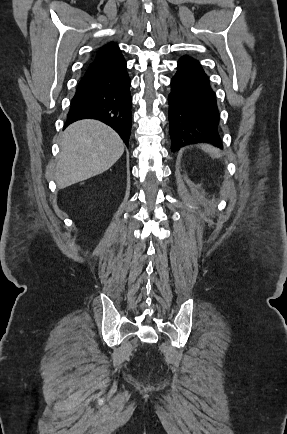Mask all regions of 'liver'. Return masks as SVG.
I'll return each instance as SVG.
<instances>
[{
  "mask_svg": "<svg viewBox=\"0 0 287 434\" xmlns=\"http://www.w3.org/2000/svg\"><path fill=\"white\" fill-rule=\"evenodd\" d=\"M55 180L59 189L99 175L122 156L124 143L110 127L96 120L77 121L62 133Z\"/></svg>",
  "mask_w": 287,
  "mask_h": 434,
  "instance_id": "1",
  "label": "liver"
}]
</instances>
